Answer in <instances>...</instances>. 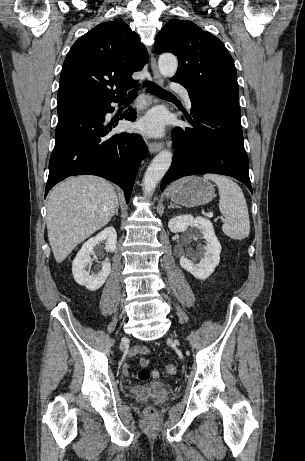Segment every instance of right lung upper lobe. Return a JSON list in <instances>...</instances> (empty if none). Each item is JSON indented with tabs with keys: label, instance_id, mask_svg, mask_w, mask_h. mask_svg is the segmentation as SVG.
<instances>
[{
	"label": "right lung upper lobe",
	"instance_id": "1",
	"mask_svg": "<svg viewBox=\"0 0 305 461\" xmlns=\"http://www.w3.org/2000/svg\"><path fill=\"white\" fill-rule=\"evenodd\" d=\"M147 62L145 46L125 22L97 25L73 44L65 58L58 108L125 96L138 82L132 73Z\"/></svg>",
	"mask_w": 305,
	"mask_h": 461
}]
</instances>
